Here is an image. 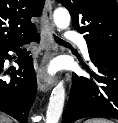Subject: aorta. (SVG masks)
I'll use <instances>...</instances> for the list:
<instances>
[{
	"mask_svg": "<svg viewBox=\"0 0 118 123\" xmlns=\"http://www.w3.org/2000/svg\"><path fill=\"white\" fill-rule=\"evenodd\" d=\"M53 19L56 27L60 30L67 29L70 25V13L65 8H57L54 11ZM65 102V88L63 81H60L52 90L49 104L46 111V123H58L63 112Z\"/></svg>",
	"mask_w": 118,
	"mask_h": 123,
	"instance_id": "aorta-1",
	"label": "aorta"
}]
</instances>
